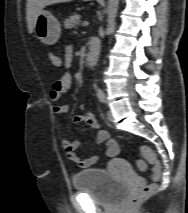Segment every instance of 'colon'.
Instances as JSON below:
<instances>
[{
	"mask_svg": "<svg viewBox=\"0 0 188 213\" xmlns=\"http://www.w3.org/2000/svg\"><path fill=\"white\" fill-rule=\"evenodd\" d=\"M49 58L52 60V62L56 66L59 65V62L54 54L50 53ZM140 152L148 160V162L153 165L152 178L157 179L160 175L161 167L158 162L156 154L148 146H141ZM137 168L140 171H143L146 169V164L143 161H138ZM151 192H152V186H147V185L138 186L131 196L130 203L139 204L144 199H146L150 195Z\"/></svg>",
	"mask_w": 188,
	"mask_h": 213,
	"instance_id": "obj_1",
	"label": "colon"
}]
</instances>
